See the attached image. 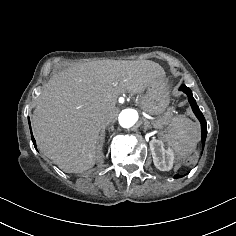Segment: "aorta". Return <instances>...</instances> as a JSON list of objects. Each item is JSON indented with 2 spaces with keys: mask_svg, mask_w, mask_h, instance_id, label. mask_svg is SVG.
<instances>
[{
  "mask_svg": "<svg viewBox=\"0 0 236 236\" xmlns=\"http://www.w3.org/2000/svg\"><path fill=\"white\" fill-rule=\"evenodd\" d=\"M139 115L135 109L127 108L121 111L118 121L121 127L130 128L138 121Z\"/></svg>",
  "mask_w": 236,
  "mask_h": 236,
  "instance_id": "obj_1",
  "label": "aorta"
}]
</instances>
